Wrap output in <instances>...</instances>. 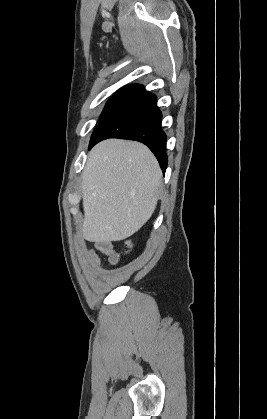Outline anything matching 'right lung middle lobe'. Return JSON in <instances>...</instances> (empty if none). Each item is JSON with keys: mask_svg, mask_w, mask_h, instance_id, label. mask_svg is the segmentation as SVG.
I'll use <instances>...</instances> for the list:
<instances>
[{"mask_svg": "<svg viewBox=\"0 0 267 419\" xmlns=\"http://www.w3.org/2000/svg\"><path fill=\"white\" fill-rule=\"evenodd\" d=\"M128 94H126V93H115L109 100H108V102L106 103V105H105V107H104V109H103V112H102V114H101V119H103L104 118V116L116 105V104H118L121 100H123L126 96H127ZM97 128V127H96ZM95 128V129H96ZM95 131V130H94ZM93 134H94V132H93ZM93 134H92V136H93ZM92 138V137H91Z\"/></svg>", "mask_w": 267, "mask_h": 419, "instance_id": "obj_1", "label": "right lung middle lobe"}]
</instances>
